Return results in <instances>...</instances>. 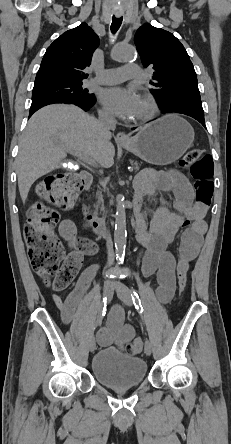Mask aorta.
<instances>
[{"label": "aorta", "instance_id": "1", "mask_svg": "<svg viewBox=\"0 0 231 444\" xmlns=\"http://www.w3.org/2000/svg\"><path fill=\"white\" fill-rule=\"evenodd\" d=\"M135 56L133 47L118 43L112 53V57L116 61L132 60ZM126 211L124 197L120 195L117 198L116 214H115V231L114 242L116 248L117 259L122 260L124 257V248L126 244Z\"/></svg>", "mask_w": 231, "mask_h": 444}]
</instances>
